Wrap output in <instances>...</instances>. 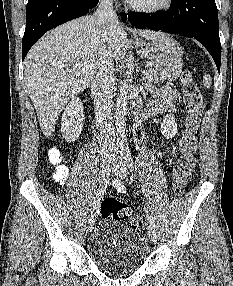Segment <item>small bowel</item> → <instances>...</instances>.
I'll return each mask as SVG.
<instances>
[{
	"mask_svg": "<svg viewBox=\"0 0 233 286\" xmlns=\"http://www.w3.org/2000/svg\"><path fill=\"white\" fill-rule=\"evenodd\" d=\"M175 101H176L175 91L168 86H164L161 89L155 91L154 98L150 101L148 114L156 115L172 111L174 109ZM165 154H166V149L163 148L160 151L159 155L164 156ZM60 169L63 170L65 173H68L67 167L62 166ZM112 185L119 192H124L126 190L125 186L117 180H113Z\"/></svg>",
	"mask_w": 233,
	"mask_h": 286,
	"instance_id": "small-bowel-1",
	"label": "small bowel"
}]
</instances>
